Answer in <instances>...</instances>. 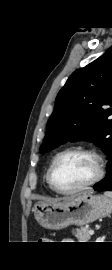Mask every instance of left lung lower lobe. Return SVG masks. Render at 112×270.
I'll use <instances>...</instances> for the list:
<instances>
[{
	"instance_id": "obj_1",
	"label": "left lung lower lobe",
	"mask_w": 112,
	"mask_h": 270,
	"mask_svg": "<svg viewBox=\"0 0 112 270\" xmlns=\"http://www.w3.org/2000/svg\"><path fill=\"white\" fill-rule=\"evenodd\" d=\"M107 167L108 170L106 177L93 186V188L97 191H112V155L109 157Z\"/></svg>"
}]
</instances>
